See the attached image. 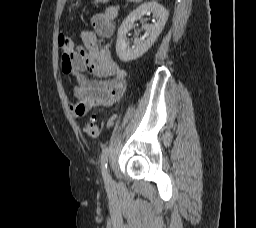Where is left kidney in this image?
<instances>
[{
  "label": "left kidney",
  "mask_w": 256,
  "mask_h": 228,
  "mask_svg": "<svg viewBox=\"0 0 256 228\" xmlns=\"http://www.w3.org/2000/svg\"><path fill=\"white\" fill-rule=\"evenodd\" d=\"M150 13L156 17V22L151 25L145 24L143 27L145 30L144 36L140 39H135L134 45L130 47L126 34L133 28L136 20H140L144 15ZM168 16L169 12L167 9L154 1L143 3L133 10L118 29L116 53L119 59L128 62L142 56L154 44L159 34L162 32Z\"/></svg>",
  "instance_id": "1"
}]
</instances>
